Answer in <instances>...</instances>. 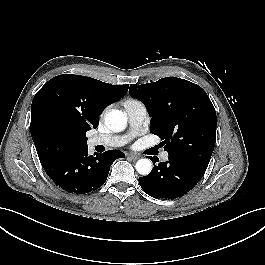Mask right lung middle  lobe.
<instances>
[{
    "label": "right lung middle lobe",
    "instance_id": "1",
    "mask_svg": "<svg viewBox=\"0 0 265 265\" xmlns=\"http://www.w3.org/2000/svg\"><path fill=\"white\" fill-rule=\"evenodd\" d=\"M38 137L37 153L40 160H47L72 150L69 135L53 123H43Z\"/></svg>",
    "mask_w": 265,
    "mask_h": 265
}]
</instances>
